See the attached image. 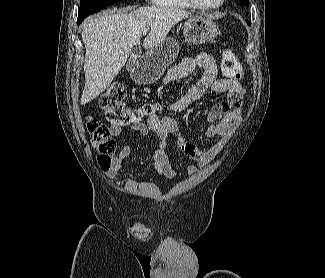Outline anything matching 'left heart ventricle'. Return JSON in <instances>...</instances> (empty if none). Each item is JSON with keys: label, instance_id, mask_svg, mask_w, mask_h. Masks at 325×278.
<instances>
[{"label": "left heart ventricle", "instance_id": "left-heart-ventricle-1", "mask_svg": "<svg viewBox=\"0 0 325 278\" xmlns=\"http://www.w3.org/2000/svg\"><path fill=\"white\" fill-rule=\"evenodd\" d=\"M198 1L203 5L211 6L217 4L220 0H198Z\"/></svg>", "mask_w": 325, "mask_h": 278}]
</instances>
